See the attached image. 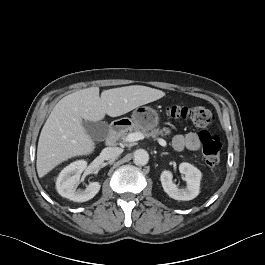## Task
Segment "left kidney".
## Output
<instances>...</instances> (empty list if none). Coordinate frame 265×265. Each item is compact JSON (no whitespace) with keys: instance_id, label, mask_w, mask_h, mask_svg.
Instances as JSON below:
<instances>
[{"instance_id":"5707ae66","label":"left kidney","mask_w":265,"mask_h":265,"mask_svg":"<svg viewBox=\"0 0 265 265\" xmlns=\"http://www.w3.org/2000/svg\"><path fill=\"white\" fill-rule=\"evenodd\" d=\"M179 171L185 175L186 188H178L172 182V173L169 170H164L160 176L164 191L175 200L188 201L196 198L200 191L201 171L187 162L179 165Z\"/></svg>"}]
</instances>
